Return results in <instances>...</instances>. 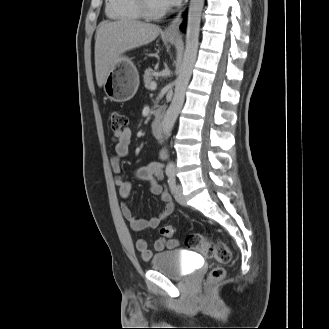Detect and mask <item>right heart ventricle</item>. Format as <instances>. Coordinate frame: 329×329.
<instances>
[{
    "label": "right heart ventricle",
    "instance_id": "right-heart-ventricle-1",
    "mask_svg": "<svg viewBox=\"0 0 329 329\" xmlns=\"http://www.w3.org/2000/svg\"><path fill=\"white\" fill-rule=\"evenodd\" d=\"M106 13L119 20L138 21L143 18L137 0H106Z\"/></svg>",
    "mask_w": 329,
    "mask_h": 329
}]
</instances>
